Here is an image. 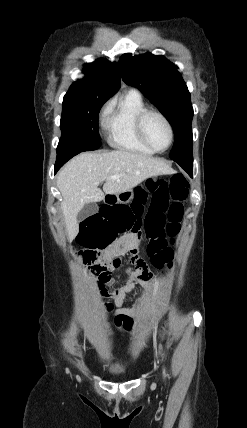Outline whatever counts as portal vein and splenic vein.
I'll use <instances>...</instances> for the list:
<instances>
[{"mask_svg":"<svg viewBox=\"0 0 247 428\" xmlns=\"http://www.w3.org/2000/svg\"><path fill=\"white\" fill-rule=\"evenodd\" d=\"M110 178H111V179H116V178H117V176H111Z\"/></svg>","mask_w":247,"mask_h":428,"instance_id":"portal-vein-and-splenic-vein-1","label":"portal vein and splenic vein"}]
</instances>
